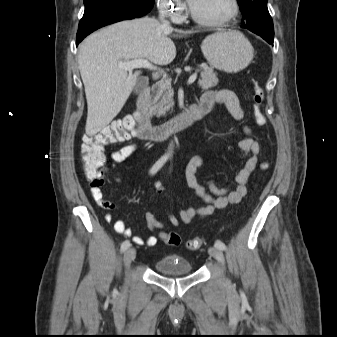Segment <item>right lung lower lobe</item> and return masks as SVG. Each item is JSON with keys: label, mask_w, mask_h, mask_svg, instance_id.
I'll list each match as a JSON object with an SVG mask.
<instances>
[{"label": "right lung lower lobe", "mask_w": 337, "mask_h": 337, "mask_svg": "<svg viewBox=\"0 0 337 337\" xmlns=\"http://www.w3.org/2000/svg\"><path fill=\"white\" fill-rule=\"evenodd\" d=\"M79 23L76 46L91 32L122 20L144 16L153 7L154 1L135 0H89Z\"/></svg>", "instance_id": "right-lung-lower-lobe-1"}]
</instances>
